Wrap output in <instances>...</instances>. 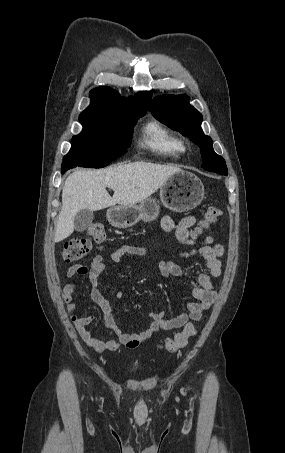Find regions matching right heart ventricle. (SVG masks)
Listing matches in <instances>:
<instances>
[{"mask_svg": "<svg viewBox=\"0 0 285 453\" xmlns=\"http://www.w3.org/2000/svg\"><path fill=\"white\" fill-rule=\"evenodd\" d=\"M142 146L172 159L179 158L184 151L181 139L158 121H151L144 127Z\"/></svg>", "mask_w": 285, "mask_h": 453, "instance_id": "obj_1", "label": "right heart ventricle"}]
</instances>
